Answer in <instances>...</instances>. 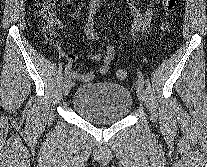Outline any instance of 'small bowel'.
<instances>
[{"label": "small bowel", "mask_w": 207, "mask_h": 167, "mask_svg": "<svg viewBox=\"0 0 207 167\" xmlns=\"http://www.w3.org/2000/svg\"><path fill=\"white\" fill-rule=\"evenodd\" d=\"M130 9L131 14L134 17V26L132 29V33H140L145 31L152 19L153 15V8L154 5L159 1V0H148L147 6L144 9V11H141L138 7L137 0H126ZM95 10V4L93 3L90 7V14L88 17V21L85 27V32L87 37L90 40H98L99 36L98 34L94 31L93 25H92V20H93V13ZM120 37H125L124 33H120ZM116 55V49L113 45H106L104 52L103 53H93L89 54L88 58L93 61H100L102 62V65L99 69L100 74H105L109 71L110 65L112 61L114 60ZM70 62L78 61L79 57L70 55L69 56ZM95 73L94 72H88V73H78L76 71L72 72V77L74 79L80 80V81H90L94 78Z\"/></svg>", "instance_id": "1"}]
</instances>
